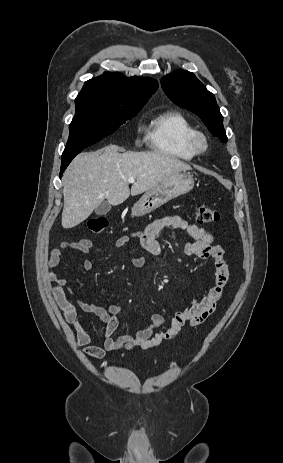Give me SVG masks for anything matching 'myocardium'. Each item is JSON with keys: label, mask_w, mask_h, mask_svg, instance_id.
<instances>
[{"label": "myocardium", "mask_w": 283, "mask_h": 463, "mask_svg": "<svg viewBox=\"0 0 283 463\" xmlns=\"http://www.w3.org/2000/svg\"><path fill=\"white\" fill-rule=\"evenodd\" d=\"M191 146L195 153H206L209 147L206 135L202 132L195 131L191 137Z\"/></svg>", "instance_id": "myocardium-1"}]
</instances>
